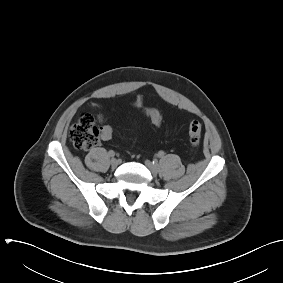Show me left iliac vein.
Masks as SVG:
<instances>
[{
	"instance_id": "obj_1",
	"label": "left iliac vein",
	"mask_w": 283,
	"mask_h": 283,
	"mask_svg": "<svg viewBox=\"0 0 283 283\" xmlns=\"http://www.w3.org/2000/svg\"><path fill=\"white\" fill-rule=\"evenodd\" d=\"M146 167L151 171L153 175H156L159 172V166L150 160L145 161Z\"/></svg>"
}]
</instances>
